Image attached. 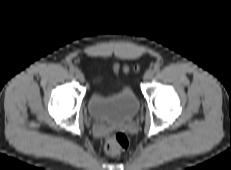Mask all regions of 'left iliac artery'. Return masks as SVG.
Returning <instances> with one entry per match:
<instances>
[{"mask_svg":"<svg viewBox=\"0 0 231 170\" xmlns=\"http://www.w3.org/2000/svg\"><path fill=\"white\" fill-rule=\"evenodd\" d=\"M159 70H160V65L156 64V65L154 66V71H155V72H158Z\"/></svg>","mask_w":231,"mask_h":170,"instance_id":"obj_1","label":"left iliac artery"}]
</instances>
